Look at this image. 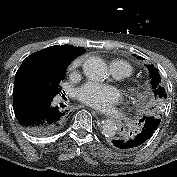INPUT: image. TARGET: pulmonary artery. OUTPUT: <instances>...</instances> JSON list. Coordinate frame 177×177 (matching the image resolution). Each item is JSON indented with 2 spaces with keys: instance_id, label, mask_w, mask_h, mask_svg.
<instances>
[{
  "instance_id": "e3ab8cb5",
  "label": "pulmonary artery",
  "mask_w": 177,
  "mask_h": 177,
  "mask_svg": "<svg viewBox=\"0 0 177 177\" xmlns=\"http://www.w3.org/2000/svg\"><path fill=\"white\" fill-rule=\"evenodd\" d=\"M111 70H112L114 76L117 78L127 77V73L121 63H118V62L113 63L111 65Z\"/></svg>"
}]
</instances>
